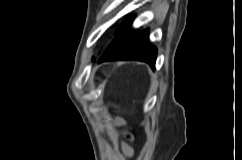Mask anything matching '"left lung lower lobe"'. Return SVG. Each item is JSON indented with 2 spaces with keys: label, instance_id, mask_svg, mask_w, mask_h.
<instances>
[{
  "label": "left lung lower lobe",
  "instance_id": "obj_1",
  "mask_svg": "<svg viewBox=\"0 0 242 160\" xmlns=\"http://www.w3.org/2000/svg\"><path fill=\"white\" fill-rule=\"evenodd\" d=\"M131 25V24H130ZM157 49L148 42V30L121 31L108 45L99 63L110 60H139L155 68Z\"/></svg>",
  "mask_w": 242,
  "mask_h": 160
}]
</instances>
